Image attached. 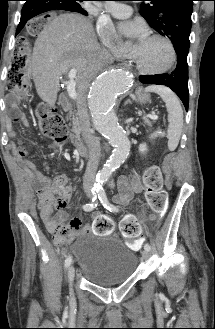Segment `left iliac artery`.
Masks as SVG:
<instances>
[{
    "instance_id": "obj_1",
    "label": "left iliac artery",
    "mask_w": 215,
    "mask_h": 329,
    "mask_svg": "<svg viewBox=\"0 0 215 329\" xmlns=\"http://www.w3.org/2000/svg\"><path fill=\"white\" fill-rule=\"evenodd\" d=\"M97 193H98V198H99L100 202L102 203V205L104 206V208H106L110 212H117L118 211V209L108 201L107 195H106L105 190L103 188L98 189ZM144 249L150 250L151 247L148 243H146L145 246H144Z\"/></svg>"
}]
</instances>
